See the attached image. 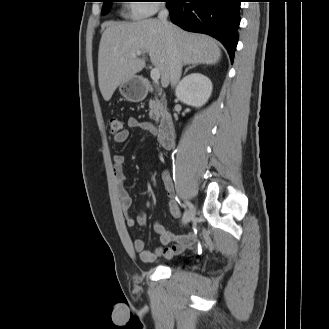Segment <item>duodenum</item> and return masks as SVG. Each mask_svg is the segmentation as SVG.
I'll list each match as a JSON object with an SVG mask.
<instances>
[{
    "label": "duodenum",
    "instance_id": "obj_1",
    "mask_svg": "<svg viewBox=\"0 0 329 329\" xmlns=\"http://www.w3.org/2000/svg\"><path fill=\"white\" fill-rule=\"evenodd\" d=\"M158 139L163 148H171L175 140V127L173 118L169 113L161 116L159 122Z\"/></svg>",
    "mask_w": 329,
    "mask_h": 329
}]
</instances>
